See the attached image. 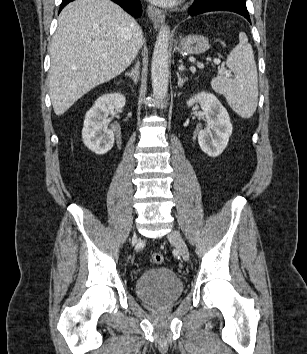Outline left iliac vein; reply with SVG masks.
Returning a JSON list of instances; mask_svg holds the SVG:
<instances>
[{
    "label": "left iliac vein",
    "mask_w": 307,
    "mask_h": 354,
    "mask_svg": "<svg viewBox=\"0 0 307 354\" xmlns=\"http://www.w3.org/2000/svg\"><path fill=\"white\" fill-rule=\"evenodd\" d=\"M168 239L175 245V247L178 249V251L180 252L182 258L185 261L189 260V250L188 247L184 241V239L182 238V236L180 235V233L177 230H172L169 234H168Z\"/></svg>",
    "instance_id": "left-iliac-vein-1"
}]
</instances>
